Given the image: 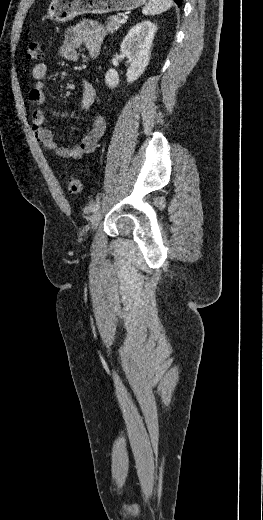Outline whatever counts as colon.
Returning a JSON list of instances; mask_svg holds the SVG:
<instances>
[{
    "mask_svg": "<svg viewBox=\"0 0 263 520\" xmlns=\"http://www.w3.org/2000/svg\"><path fill=\"white\" fill-rule=\"evenodd\" d=\"M41 46L37 41H31L27 49V58L29 60H39L41 58ZM67 190L70 194L77 195L82 191V184L76 177L64 175Z\"/></svg>",
    "mask_w": 263,
    "mask_h": 520,
    "instance_id": "1",
    "label": "colon"
}]
</instances>
